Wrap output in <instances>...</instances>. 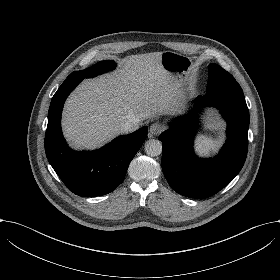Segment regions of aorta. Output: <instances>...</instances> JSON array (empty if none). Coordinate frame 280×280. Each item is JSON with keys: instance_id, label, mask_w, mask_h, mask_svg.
I'll return each mask as SVG.
<instances>
[{"instance_id": "1", "label": "aorta", "mask_w": 280, "mask_h": 280, "mask_svg": "<svg viewBox=\"0 0 280 280\" xmlns=\"http://www.w3.org/2000/svg\"><path fill=\"white\" fill-rule=\"evenodd\" d=\"M145 152L152 157L159 156L162 153V143L156 139H149L145 143Z\"/></svg>"}]
</instances>
